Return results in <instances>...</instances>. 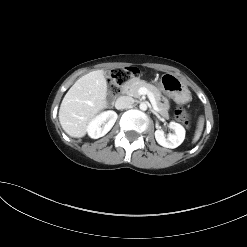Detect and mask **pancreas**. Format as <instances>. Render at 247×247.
Segmentation results:
<instances>
[{"mask_svg":"<svg viewBox=\"0 0 247 247\" xmlns=\"http://www.w3.org/2000/svg\"><path fill=\"white\" fill-rule=\"evenodd\" d=\"M142 87L147 88L154 94L158 113L161 114L163 117L168 118L169 104L166 100L165 102H162V95L154 85L149 84L146 81L140 80L138 78H132L121 86V92L123 94L139 98L141 96L139 93V89Z\"/></svg>","mask_w":247,"mask_h":247,"instance_id":"pancreas-1","label":"pancreas"}]
</instances>
